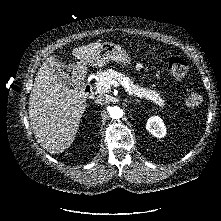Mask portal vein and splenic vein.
Masks as SVG:
<instances>
[{"mask_svg": "<svg viewBox=\"0 0 221 221\" xmlns=\"http://www.w3.org/2000/svg\"><path fill=\"white\" fill-rule=\"evenodd\" d=\"M110 85H113V86H115V87H119V86H120L117 81H115V80H110V81H108L107 83H104L105 89H109V88H110ZM100 87H101V85L97 88L98 91H99V88H100Z\"/></svg>", "mask_w": 221, "mask_h": 221, "instance_id": "portal-vein-and-splenic-vein-1", "label": "portal vein and splenic vein"}]
</instances>
